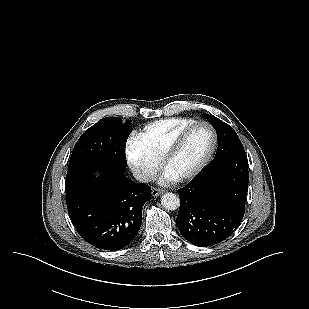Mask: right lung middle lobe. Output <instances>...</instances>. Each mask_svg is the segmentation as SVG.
I'll return each mask as SVG.
<instances>
[{
    "instance_id": "1",
    "label": "right lung middle lobe",
    "mask_w": 309,
    "mask_h": 309,
    "mask_svg": "<svg viewBox=\"0 0 309 309\" xmlns=\"http://www.w3.org/2000/svg\"><path fill=\"white\" fill-rule=\"evenodd\" d=\"M132 131L130 121L106 117L87 129L77 141L69 162V169L83 164H96L124 172L125 145Z\"/></svg>"
}]
</instances>
